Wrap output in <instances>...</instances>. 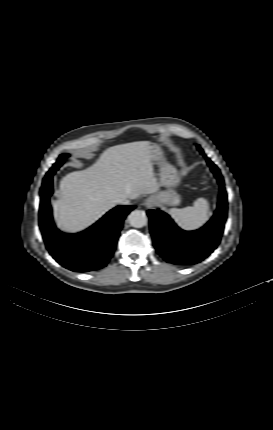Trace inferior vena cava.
Segmentation results:
<instances>
[{"label": "inferior vena cava", "instance_id": "obj_1", "mask_svg": "<svg viewBox=\"0 0 273 430\" xmlns=\"http://www.w3.org/2000/svg\"><path fill=\"white\" fill-rule=\"evenodd\" d=\"M129 202L130 201L127 198H120L117 200V203L122 204V205H127V204H129Z\"/></svg>", "mask_w": 273, "mask_h": 430}]
</instances>
